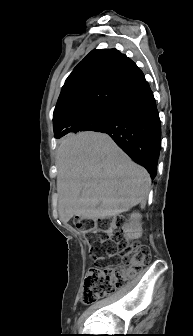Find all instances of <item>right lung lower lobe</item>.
Returning a JSON list of instances; mask_svg holds the SVG:
<instances>
[{
  "label": "right lung lower lobe",
  "instance_id": "right-lung-lower-lobe-1",
  "mask_svg": "<svg viewBox=\"0 0 193 336\" xmlns=\"http://www.w3.org/2000/svg\"><path fill=\"white\" fill-rule=\"evenodd\" d=\"M108 134L154 178L161 147V125L153 93L139 70L112 104L104 126Z\"/></svg>",
  "mask_w": 193,
  "mask_h": 336
}]
</instances>
